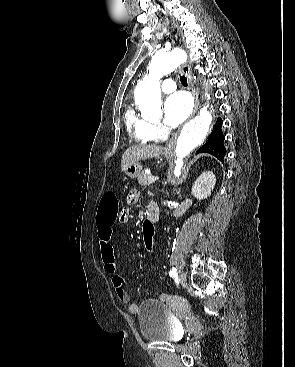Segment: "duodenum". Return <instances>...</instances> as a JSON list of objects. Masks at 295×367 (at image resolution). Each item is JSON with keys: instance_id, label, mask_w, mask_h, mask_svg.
<instances>
[{"instance_id": "duodenum-1", "label": "duodenum", "mask_w": 295, "mask_h": 367, "mask_svg": "<svg viewBox=\"0 0 295 367\" xmlns=\"http://www.w3.org/2000/svg\"><path fill=\"white\" fill-rule=\"evenodd\" d=\"M159 217V206L157 203L152 202L147 208L146 218L152 219L153 222L157 221Z\"/></svg>"}]
</instances>
